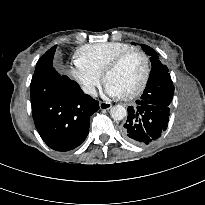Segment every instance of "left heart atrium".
Instances as JSON below:
<instances>
[{
	"label": "left heart atrium",
	"instance_id": "1",
	"mask_svg": "<svg viewBox=\"0 0 205 205\" xmlns=\"http://www.w3.org/2000/svg\"><path fill=\"white\" fill-rule=\"evenodd\" d=\"M104 91L110 97H120V94L113 87H111L110 85L106 83L104 86Z\"/></svg>",
	"mask_w": 205,
	"mask_h": 205
}]
</instances>
